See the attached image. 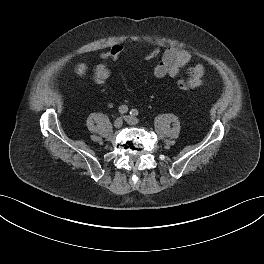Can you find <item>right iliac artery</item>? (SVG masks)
<instances>
[{
	"label": "right iliac artery",
	"mask_w": 264,
	"mask_h": 264,
	"mask_svg": "<svg viewBox=\"0 0 264 264\" xmlns=\"http://www.w3.org/2000/svg\"><path fill=\"white\" fill-rule=\"evenodd\" d=\"M127 111H128V107H127L126 105H121V106L119 107V112H120L121 114L127 113Z\"/></svg>",
	"instance_id": "82829eb1"
}]
</instances>
